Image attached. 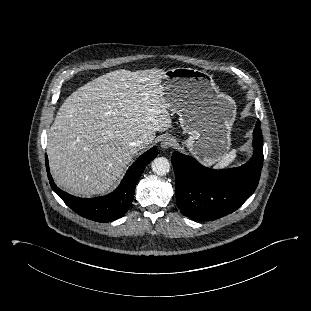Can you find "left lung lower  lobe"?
I'll use <instances>...</instances> for the list:
<instances>
[{"label": "left lung lower lobe", "instance_id": "obj_1", "mask_svg": "<svg viewBox=\"0 0 311 311\" xmlns=\"http://www.w3.org/2000/svg\"><path fill=\"white\" fill-rule=\"evenodd\" d=\"M254 154L239 168L214 170L194 158L173 152L176 199L182 213L197 221L219 219L237 210L255 191L263 164V136L258 120Z\"/></svg>", "mask_w": 311, "mask_h": 311}]
</instances>
